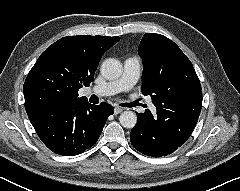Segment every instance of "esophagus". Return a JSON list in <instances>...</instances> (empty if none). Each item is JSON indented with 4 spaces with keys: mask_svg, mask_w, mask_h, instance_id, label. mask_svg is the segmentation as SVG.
Instances as JSON below:
<instances>
[{
    "mask_svg": "<svg viewBox=\"0 0 240 191\" xmlns=\"http://www.w3.org/2000/svg\"><path fill=\"white\" fill-rule=\"evenodd\" d=\"M122 111H123V109L121 107H119V106L114 107V114L115 115L121 113Z\"/></svg>",
    "mask_w": 240,
    "mask_h": 191,
    "instance_id": "34e87169",
    "label": "esophagus"
}]
</instances>
